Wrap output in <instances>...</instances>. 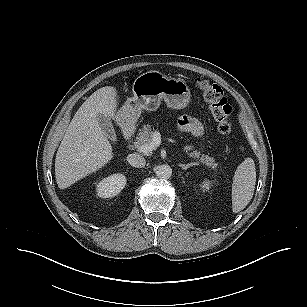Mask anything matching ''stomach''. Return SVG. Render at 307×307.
I'll return each instance as SVG.
<instances>
[{
    "label": "stomach",
    "mask_w": 307,
    "mask_h": 307,
    "mask_svg": "<svg viewBox=\"0 0 307 307\" xmlns=\"http://www.w3.org/2000/svg\"><path fill=\"white\" fill-rule=\"evenodd\" d=\"M133 97L120 108L123 127H133L142 110L155 111L164 99L171 109L186 108L191 101V91L182 79L168 77L159 71H148L139 75L132 85Z\"/></svg>",
    "instance_id": "1"
}]
</instances>
